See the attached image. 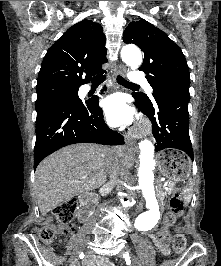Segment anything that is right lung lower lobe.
<instances>
[{"mask_svg":"<svg viewBox=\"0 0 221 266\" xmlns=\"http://www.w3.org/2000/svg\"><path fill=\"white\" fill-rule=\"evenodd\" d=\"M74 143L124 144L123 136L104 122L98 97L56 103L37 114L34 169L49 154Z\"/></svg>","mask_w":221,"mask_h":266,"instance_id":"obj_1","label":"right lung lower lobe"}]
</instances>
